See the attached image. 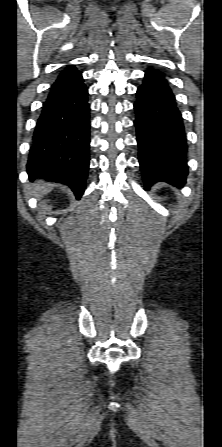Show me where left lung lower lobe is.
I'll list each match as a JSON object with an SVG mask.
<instances>
[{"instance_id":"left-lung-lower-lobe-1","label":"left lung lower lobe","mask_w":222,"mask_h":447,"mask_svg":"<svg viewBox=\"0 0 222 447\" xmlns=\"http://www.w3.org/2000/svg\"><path fill=\"white\" fill-rule=\"evenodd\" d=\"M136 96L135 126L145 188L159 181L171 185L185 183V131L167 80L158 70H147Z\"/></svg>"}]
</instances>
